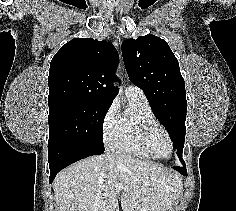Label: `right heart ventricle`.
Segmentation results:
<instances>
[{"label":"right heart ventricle","mask_w":236,"mask_h":211,"mask_svg":"<svg viewBox=\"0 0 236 211\" xmlns=\"http://www.w3.org/2000/svg\"><path fill=\"white\" fill-rule=\"evenodd\" d=\"M127 100V109L118 115L116 132L109 148L113 152L152 158L136 145L135 135L144 125L158 123L155 114L146 98H127Z\"/></svg>","instance_id":"right-heart-ventricle-1"}]
</instances>
